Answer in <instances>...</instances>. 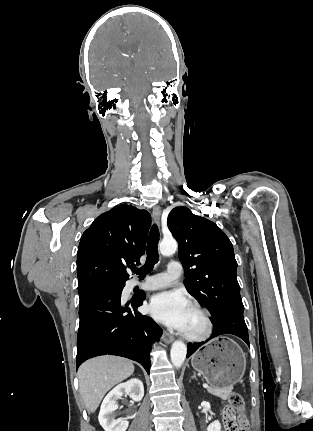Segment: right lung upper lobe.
Returning <instances> with one entry per match:
<instances>
[{
  "label": "right lung upper lobe",
  "mask_w": 313,
  "mask_h": 431,
  "mask_svg": "<svg viewBox=\"0 0 313 431\" xmlns=\"http://www.w3.org/2000/svg\"><path fill=\"white\" fill-rule=\"evenodd\" d=\"M151 224L146 210L118 205L101 214L83 233L77 253L78 291L97 285H122L126 268L139 264Z\"/></svg>",
  "instance_id": "1"
}]
</instances>
